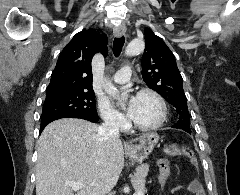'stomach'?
<instances>
[{"label":"stomach","mask_w":240,"mask_h":195,"mask_svg":"<svg viewBox=\"0 0 240 195\" xmlns=\"http://www.w3.org/2000/svg\"><path fill=\"white\" fill-rule=\"evenodd\" d=\"M158 133H143L138 137V143L126 145V151L131 161H143L153 151L156 143H158Z\"/></svg>","instance_id":"0dacf381"}]
</instances>
